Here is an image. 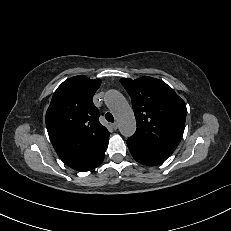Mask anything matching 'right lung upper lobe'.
I'll return each instance as SVG.
<instances>
[{"mask_svg":"<svg viewBox=\"0 0 231 231\" xmlns=\"http://www.w3.org/2000/svg\"><path fill=\"white\" fill-rule=\"evenodd\" d=\"M101 80L75 76L55 91L46 112V127L54 149L62 161L77 171L98 165L108 142L109 131L99 122L92 97Z\"/></svg>","mask_w":231,"mask_h":231,"instance_id":"cb5924a9","label":"right lung upper lobe"}]
</instances>
